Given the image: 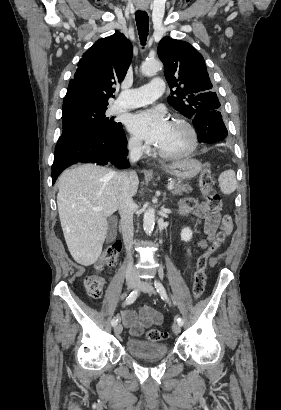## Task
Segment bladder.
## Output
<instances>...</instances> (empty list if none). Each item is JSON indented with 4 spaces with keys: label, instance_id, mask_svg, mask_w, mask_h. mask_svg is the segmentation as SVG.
<instances>
[{
    "label": "bladder",
    "instance_id": "1",
    "mask_svg": "<svg viewBox=\"0 0 281 410\" xmlns=\"http://www.w3.org/2000/svg\"><path fill=\"white\" fill-rule=\"evenodd\" d=\"M127 352L139 358H159L168 354V346L160 342L130 338L126 342Z\"/></svg>",
    "mask_w": 281,
    "mask_h": 410
}]
</instances>
